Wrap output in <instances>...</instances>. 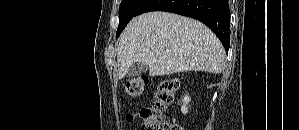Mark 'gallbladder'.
<instances>
[{
	"label": "gallbladder",
	"instance_id": "obj_1",
	"mask_svg": "<svg viewBox=\"0 0 299 130\" xmlns=\"http://www.w3.org/2000/svg\"><path fill=\"white\" fill-rule=\"evenodd\" d=\"M148 70L147 65L140 62L133 63L127 70L129 77L133 78L145 73Z\"/></svg>",
	"mask_w": 299,
	"mask_h": 130
}]
</instances>
